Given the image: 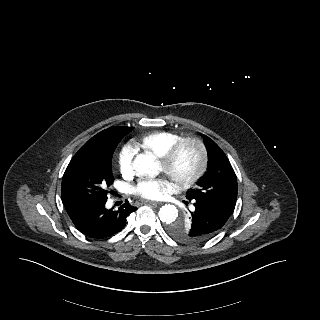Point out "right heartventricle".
Listing matches in <instances>:
<instances>
[{
    "label": "right heart ventricle",
    "mask_w": 320,
    "mask_h": 320,
    "mask_svg": "<svg viewBox=\"0 0 320 320\" xmlns=\"http://www.w3.org/2000/svg\"><path fill=\"white\" fill-rule=\"evenodd\" d=\"M180 139V136L170 131H154L142 136L139 147L162 158L167 151Z\"/></svg>",
    "instance_id": "right-heart-ventricle-1"
}]
</instances>
